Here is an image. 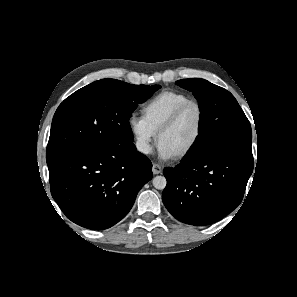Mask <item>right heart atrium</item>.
Segmentation results:
<instances>
[{"mask_svg":"<svg viewBox=\"0 0 297 297\" xmlns=\"http://www.w3.org/2000/svg\"><path fill=\"white\" fill-rule=\"evenodd\" d=\"M128 127L136 150L143 155L150 154L156 134L152 131L143 117L131 115L128 119Z\"/></svg>","mask_w":297,"mask_h":297,"instance_id":"1","label":"right heart atrium"}]
</instances>
